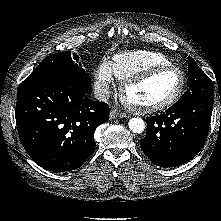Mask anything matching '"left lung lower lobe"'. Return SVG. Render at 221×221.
<instances>
[{
    "label": "left lung lower lobe",
    "instance_id": "obj_1",
    "mask_svg": "<svg viewBox=\"0 0 221 221\" xmlns=\"http://www.w3.org/2000/svg\"><path fill=\"white\" fill-rule=\"evenodd\" d=\"M213 99L193 97L146 118L140 147L151 162L168 168L186 163L202 149L211 122Z\"/></svg>",
    "mask_w": 221,
    "mask_h": 221
}]
</instances>
